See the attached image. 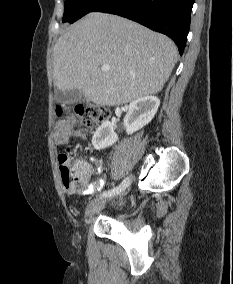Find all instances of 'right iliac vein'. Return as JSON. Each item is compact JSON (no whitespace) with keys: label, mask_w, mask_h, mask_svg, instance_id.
I'll return each instance as SVG.
<instances>
[{"label":"right iliac vein","mask_w":233,"mask_h":284,"mask_svg":"<svg viewBox=\"0 0 233 284\" xmlns=\"http://www.w3.org/2000/svg\"><path fill=\"white\" fill-rule=\"evenodd\" d=\"M130 188L129 187H124L122 189V192L117 194V197H122L124 194H129ZM113 196H107V197H99L95 200H93L89 206L87 207L86 210V215L87 216H92L95 213L99 212L102 210L106 204L107 201H110Z\"/></svg>","instance_id":"1"}]
</instances>
